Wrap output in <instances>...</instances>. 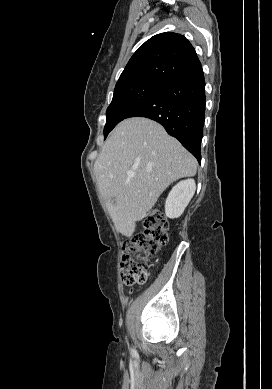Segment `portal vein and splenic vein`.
<instances>
[{
  "mask_svg": "<svg viewBox=\"0 0 272 389\" xmlns=\"http://www.w3.org/2000/svg\"><path fill=\"white\" fill-rule=\"evenodd\" d=\"M127 175H128L129 177H134V173H133V172H127Z\"/></svg>",
  "mask_w": 272,
  "mask_h": 389,
  "instance_id": "obj_1",
  "label": "portal vein and splenic vein"
}]
</instances>
